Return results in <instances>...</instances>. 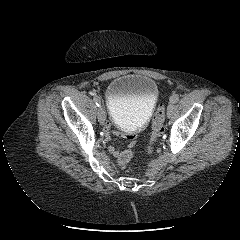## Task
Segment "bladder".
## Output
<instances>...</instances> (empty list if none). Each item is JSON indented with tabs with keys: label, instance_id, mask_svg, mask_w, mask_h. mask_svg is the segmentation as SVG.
Masks as SVG:
<instances>
[{
	"label": "bladder",
	"instance_id": "obj_1",
	"mask_svg": "<svg viewBox=\"0 0 240 240\" xmlns=\"http://www.w3.org/2000/svg\"><path fill=\"white\" fill-rule=\"evenodd\" d=\"M158 95L157 83L150 77L127 74L115 78L106 93L112 121L123 131L142 129L154 111Z\"/></svg>",
	"mask_w": 240,
	"mask_h": 240
}]
</instances>
